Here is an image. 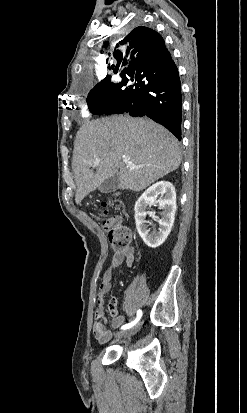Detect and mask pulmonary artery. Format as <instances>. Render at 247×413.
Listing matches in <instances>:
<instances>
[{"label":"pulmonary artery","instance_id":"e3ab8cb5","mask_svg":"<svg viewBox=\"0 0 247 413\" xmlns=\"http://www.w3.org/2000/svg\"><path fill=\"white\" fill-rule=\"evenodd\" d=\"M114 81H115V82H120V79L118 78V79H115Z\"/></svg>","mask_w":247,"mask_h":413}]
</instances>
